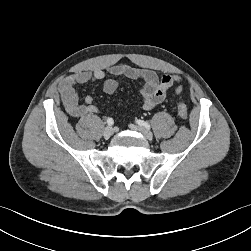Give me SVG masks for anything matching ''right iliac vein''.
<instances>
[{
    "instance_id": "1",
    "label": "right iliac vein",
    "mask_w": 251,
    "mask_h": 251,
    "mask_svg": "<svg viewBox=\"0 0 251 251\" xmlns=\"http://www.w3.org/2000/svg\"><path fill=\"white\" fill-rule=\"evenodd\" d=\"M114 133V129L111 126H107L103 131V136L105 139H109Z\"/></svg>"
}]
</instances>
